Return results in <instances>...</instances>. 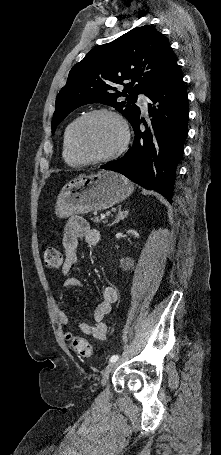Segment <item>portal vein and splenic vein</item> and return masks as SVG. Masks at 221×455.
Masks as SVG:
<instances>
[{
  "instance_id": "obj_1",
  "label": "portal vein and splenic vein",
  "mask_w": 221,
  "mask_h": 455,
  "mask_svg": "<svg viewBox=\"0 0 221 455\" xmlns=\"http://www.w3.org/2000/svg\"><path fill=\"white\" fill-rule=\"evenodd\" d=\"M101 218H102V219H106V216H105V215H101Z\"/></svg>"
}]
</instances>
